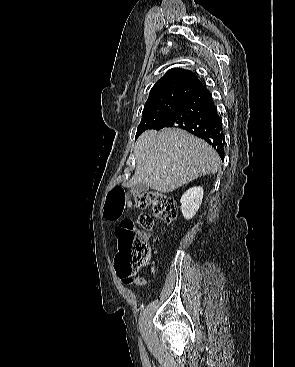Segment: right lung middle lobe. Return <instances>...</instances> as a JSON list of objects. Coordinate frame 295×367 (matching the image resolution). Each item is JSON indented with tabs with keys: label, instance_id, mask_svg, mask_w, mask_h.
Listing matches in <instances>:
<instances>
[{
	"label": "right lung middle lobe",
	"instance_id": "obj_1",
	"mask_svg": "<svg viewBox=\"0 0 295 367\" xmlns=\"http://www.w3.org/2000/svg\"><path fill=\"white\" fill-rule=\"evenodd\" d=\"M194 92L188 88H171L149 95L137 128L136 138L145 130L153 129Z\"/></svg>",
	"mask_w": 295,
	"mask_h": 367
}]
</instances>
